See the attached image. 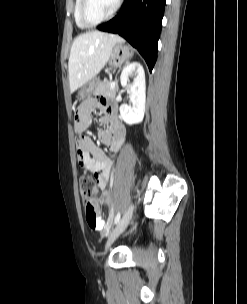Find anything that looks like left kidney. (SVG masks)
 Instances as JSON below:
<instances>
[{
	"label": "left kidney",
	"instance_id": "obj_1",
	"mask_svg": "<svg viewBox=\"0 0 247 304\" xmlns=\"http://www.w3.org/2000/svg\"><path fill=\"white\" fill-rule=\"evenodd\" d=\"M135 73L133 84H129V77ZM121 86L127 87L130 93V103L120 106L121 118L129 125L140 123L144 118L146 102L145 72L139 62H132L124 67L120 76Z\"/></svg>",
	"mask_w": 247,
	"mask_h": 304
}]
</instances>
